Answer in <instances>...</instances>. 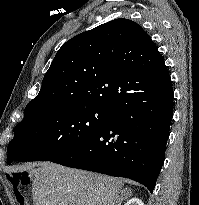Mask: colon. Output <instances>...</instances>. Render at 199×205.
<instances>
[{
    "mask_svg": "<svg viewBox=\"0 0 199 205\" xmlns=\"http://www.w3.org/2000/svg\"><path fill=\"white\" fill-rule=\"evenodd\" d=\"M9 181L13 186L14 193L18 199V201L24 205V195L22 192V187L27 185L29 182V178L25 173H12L9 175Z\"/></svg>",
    "mask_w": 199,
    "mask_h": 205,
    "instance_id": "5ec220e1",
    "label": "colon"
}]
</instances>
